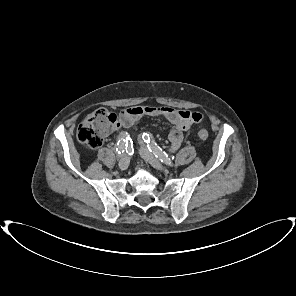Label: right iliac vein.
Instances as JSON below:
<instances>
[{"mask_svg":"<svg viewBox=\"0 0 296 296\" xmlns=\"http://www.w3.org/2000/svg\"><path fill=\"white\" fill-rule=\"evenodd\" d=\"M118 166L121 170H126L129 166V158L126 155H123L119 160Z\"/></svg>","mask_w":296,"mask_h":296,"instance_id":"1","label":"right iliac vein"}]
</instances>
